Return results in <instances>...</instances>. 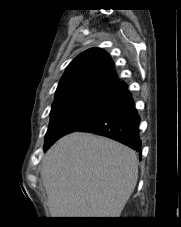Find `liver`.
I'll return each instance as SVG.
<instances>
[{
	"mask_svg": "<svg viewBox=\"0 0 181 227\" xmlns=\"http://www.w3.org/2000/svg\"><path fill=\"white\" fill-rule=\"evenodd\" d=\"M41 177L52 217H120L137 183V154L109 138L75 132L47 151Z\"/></svg>",
	"mask_w": 181,
	"mask_h": 227,
	"instance_id": "liver-1",
	"label": "liver"
}]
</instances>
